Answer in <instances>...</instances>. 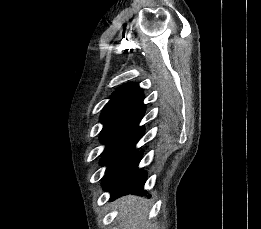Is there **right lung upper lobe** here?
<instances>
[{"instance_id":"1","label":"right lung upper lobe","mask_w":261,"mask_h":229,"mask_svg":"<svg viewBox=\"0 0 261 229\" xmlns=\"http://www.w3.org/2000/svg\"><path fill=\"white\" fill-rule=\"evenodd\" d=\"M144 95L137 83L119 87L104 107L101 122L104 127L100 138L108 150H125L132 146L134 134L143 131L139 126L145 113Z\"/></svg>"}]
</instances>
